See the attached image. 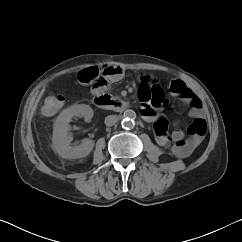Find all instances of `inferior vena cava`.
<instances>
[{"label": "inferior vena cava", "mask_w": 242, "mask_h": 242, "mask_svg": "<svg viewBox=\"0 0 242 242\" xmlns=\"http://www.w3.org/2000/svg\"><path fill=\"white\" fill-rule=\"evenodd\" d=\"M117 121H118L117 115H109L105 118L104 122L106 126H113L114 124H116Z\"/></svg>", "instance_id": "obj_1"}]
</instances>
